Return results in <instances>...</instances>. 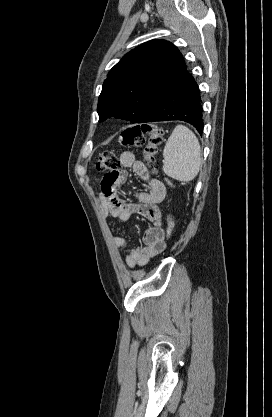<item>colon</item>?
Instances as JSON below:
<instances>
[{
  "mask_svg": "<svg viewBox=\"0 0 272 417\" xmlns=\"http://www.w3.org/2000/svg\"><path fill=\"white\" fill-rule=\"evenodd\" d=\"M146 137L148 138V141L144 148L143 157L146 165L150 167L155 161L158 147L163 140V130L160 126L147 123L126 128L119 135V142L124 147L135 148L142 146ZM96 169L99 172H104L106 174H115L120 169V159L112 151L104 152L99 156L96 163ZM175 226V218L170 215L164 231L166 238L172 236Z\"/></svg>",
  "mask_w": 272,
  "mask_h": 417,
  "instance_id": "colon-1",
  "label": "colon"
}]
</instances>
